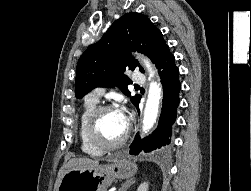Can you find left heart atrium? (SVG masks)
<instances>
[{"label": "left heart atrium", "instance_id": "39dd6f15", "mask_svg": "<svg viewBox=\"0 0 251 191\" xmlns=\"http://www.w3.org/2000/svg\"><path fill=\"white\" fill-rule=\"evenodd\" d=\"M117 117L124 123H126L125 110L123 108H118L115 110Z\"/></svg>", "mask_w": 251, "mask_h": 191}]
</instances>
